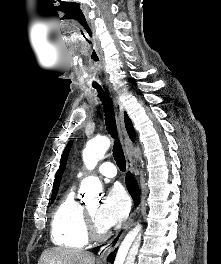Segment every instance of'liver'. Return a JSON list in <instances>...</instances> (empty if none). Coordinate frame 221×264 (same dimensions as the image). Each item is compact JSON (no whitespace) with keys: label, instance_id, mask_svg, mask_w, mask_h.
Instances as JSON below:
<instances>
[{"label":"liver","instance_id":"1","mask_svg":"<svg viewBox=\"0 0 221 264\" xmlns=\"http://www.w3.org/2000/svg\"><path fill=\"white\" fill-rule=\"evenodd\" d=\"M38 264H95V257L88 251L56 247L43 251Z\"/></svg>","mask_w":221,"mask_h":264}]
</instances>
